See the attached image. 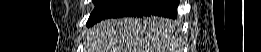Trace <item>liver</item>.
I'll return each mask as SVG.
<instances>
[{
    "label": "liver",
    "instance_id": "liver-1",
    "mask_svg": "<svg viewBox=\"0 0 261 52\" xmlns=\"http://www.w3.org/2000/svg\"><path fill=\"white\" fill-rule=\"evenodd\" d=\"M178 31L162 17L106 19L88 36V52H172Z\"/></svg>",
    "mask_w": 261,
    "mask_h": 52
}]
</instances>
